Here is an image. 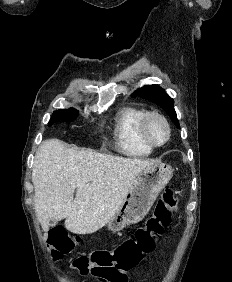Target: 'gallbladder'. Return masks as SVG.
I'll return each mask as SVG.
<instances>
[{"label": "gallbladder", "mask_w": 232, "mask_h": 282, "mask_svg": "<svg viewBox=\"0 0 232 282\" xmlns=\"http://www.w3.org/2000/svg\"><path fill=\"white\" fill-rule=\"evenodd\" d=\"M57 225V221L56 220H50L49 222H48V226L49 227H55Z\"/></svg>", "instance_id": "gallbladder-1"}]
</instances>
